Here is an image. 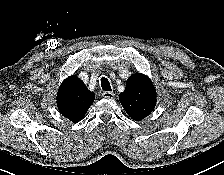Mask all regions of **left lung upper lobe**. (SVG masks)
<instances>
[{
    "mask_svg": "<svg viewBox=\"0 0 224 175\" xmlns=\"http://www.w3.org/2000/svg\"><path fill=\"white\" fill-rule=\"evenodd\" d=\"M119 101L127 114L136 121L147 117L156 105V91L149 77L134 74L126 82Z\"/></svg>",
    "mask_w": 224,
    "mask_h": 175,
    "instance_id": "5c2ea615",
    "label": "left lung upper lobe"
}]
</instances>
